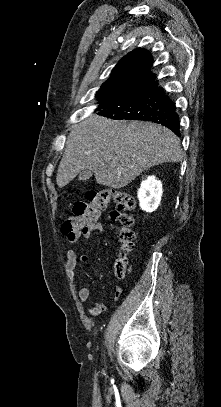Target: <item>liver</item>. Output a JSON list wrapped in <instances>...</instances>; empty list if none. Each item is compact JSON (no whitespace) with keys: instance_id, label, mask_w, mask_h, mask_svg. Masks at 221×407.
Returning <instances> with one entry per match:
<instances>
[{"instance_id":"1","label":"liver","mask_w":221,"mask_h":407,"mask_svg":"<svg viewBox=\"0 0 221 407\" xmlns=\"http://www.w3.org/2000/svg\"><path fill=\"white\" fill-rule=\"evenodd\" d=\"M181 160L180 140L168 128L91 115L71 130L56 182L62 188L90 170L98 184L119 189L150 167Z\"/></svg>"}]
</instances>
